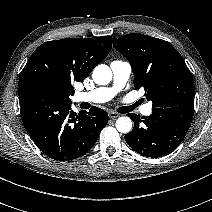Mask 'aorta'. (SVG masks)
<instances>
[{
  "mask_svg": "<svg viewBox=\"0 0 212 212\" xmlns=\"http://www.w3.org/2000/svg\"><path fill=\"white\" fill-rule=\"evenodd\" d=\"M92 77L96 84L106 85L112 80V71L107 65L100 64L93 70ZM116 128L121 133H128L132 129V120L127 116L119 117L116 120Z\"/></svg>",
  "mask_w": 212,
  "mask_h": 212,
  "instance_id": "obj_1",
  "label": "aorta"
}]
</instances>
